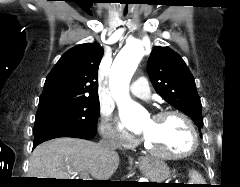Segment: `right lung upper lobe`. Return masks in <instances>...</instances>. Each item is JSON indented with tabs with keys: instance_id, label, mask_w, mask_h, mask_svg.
<instances>
[{
	"instance_id": "obj_1",
	"label": "right lung upper lobe",
	"mask_w": 240,
	"mask_h": 187,
	"mask_svg": "<svg viewBox=\"0 0 240 187\" xmlns=\"http://www.w3.org/2000/svg\"><path fill=\"white\" fill-rule=\"evenodd\" d=\"M104 50L98 44L77 45L48 74L39 105L57 101L98 99V68Z\"/></svg>"
}]
</instances>
